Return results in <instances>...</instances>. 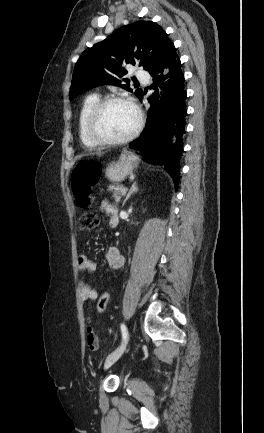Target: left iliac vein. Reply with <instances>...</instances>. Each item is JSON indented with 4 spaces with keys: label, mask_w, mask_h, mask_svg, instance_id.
<instances>
[{
    "label": "left iliac vein",
    "mask_w": 264,
    "mask_h": 433,
    "mask_svg": "<svg viewBox=\"0 0 264 433\" xmlns=\"http://www.w3.org/2000/svg\"><path fill=\"white\" fill-rule=\"evenodd\" d=\"M130 338V333L127 332L125 339L123 340L122 344L111 354L108 356L104 363V369H108L110 366H112L123 354V352L126 349V346L128 344Z\"/></svg>",
    "instance_id": "left-iliac-vein-1"
}]
</instances>
